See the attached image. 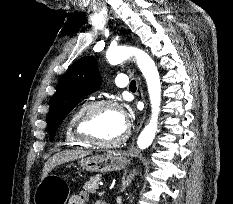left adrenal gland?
<instances>
[{"instance_id":"obj_1","label":"left adrenal gland","mask_w":233,"mask_h":204,"mask_svg":"<svg viewBox=\"0 0 233 204\" xmlns=\"http://www.w3.org/2000/svg\"><path fill=\"white\" fill-rule=\"evenodd\" d=\"M136 174V170L134 169L128 176L127 175V171L124 172L123 177H122V183H121V187H120V192L125 191L126 187H128V185L131 183V180L133 179V177Z\"/></svg>"}]
</instances>
